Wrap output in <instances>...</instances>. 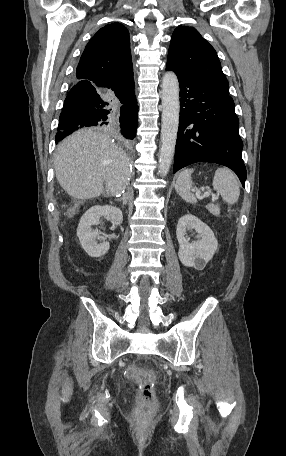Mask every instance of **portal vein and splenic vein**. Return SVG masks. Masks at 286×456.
Returning <instances> with one entry per match:
<instances>
[{
	"label": "portal vein and splenic vein",
	"instance_id": "obj_1",
	"mask_svg": "<svg viewBox=\"0 0 286 456\" xmlns=\"http://www.w3.org/2000/svg\"><path fill=\"white\" fill-rule=\"evenodd\" d=\"M210 195H212L213 199H217L218 198V196L216 194H212L210 192H204L202 197H207V196H210Z\"/></svg>",
	"mask_w": 286,
	"mask_h": 456
}]
</instances>
